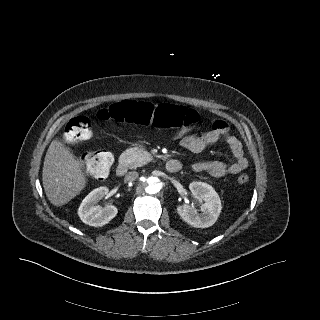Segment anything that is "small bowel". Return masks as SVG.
<instances>
[{
    "instance_id": "small-bowel-1",
    "label": "small bowel",
    "mask_w": 320,
    "mask_h": 320,
    "mask_svg": "<svg viewBox=\"0 0 320 320\" xmlns=\"http://www.w3.org/2000/svg\"><path fill=\"white\" fill-rule=\"evenodd\" d=\"M190 131L191 127H183L176 135L181 147L189 152L199 154L209 145L223 139L234 156V161L230 163L219 160L196 162L192 165L193 171L206 172L213 177H223L228 174H238L248 167L242 143L236 136L230 134L225 121H214L212 129L204 133H190Z\"/></svg>"
}]
</instances>
